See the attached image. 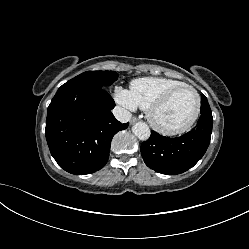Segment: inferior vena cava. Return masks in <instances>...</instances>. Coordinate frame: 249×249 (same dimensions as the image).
I'll list each match as a JSON object with an SVG mask.
<instances>
[{
  "label": "inferior vena cava",
  "instance_id": "1",
  "mask_svg": "<svg viewBox=\"0 0 249 249\" xmlns=\"http://www.w3.org/2000/svg\"><path fill=\"white\" fill-rule=\"evenodd\" d=\"M113 114L115 118L122 123H126L131 119V113L120 106H116L113 109Z\"/></svg>",
  "mask_w": 249,
  "mask_h": 249
}]
</instances>
